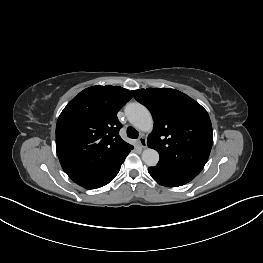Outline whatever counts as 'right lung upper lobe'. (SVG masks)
Listing matches in <instances>:
<instances>
[{
	"label": "right lung upper lobe",
	"instance_id": "right-lung-upper-lobe-1",
	"mask_svg": "<svg viewBox=\"0 0 263 263\" xmlns=\"http://www.w3.org/2000/svg\"><path fill=\"white\" fill-rule=\"evenodd\" d=\"M132 98L119 86H92L81 91L61 112L56 151L72 179L103 171L133 148L119 136L117 112Z\"/></svg>",
	"mask_w": 263,
	"mask_h": 263
}]
</instances>
